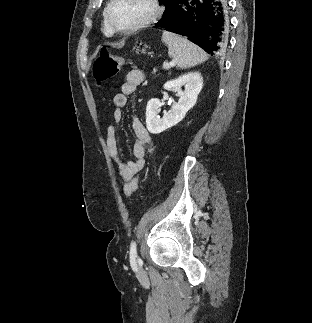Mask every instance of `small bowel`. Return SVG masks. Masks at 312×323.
<instances>
[{"label": "small bowel", "instance_id": "small-bowel-1", "mask_svg": "<svg viewBox=\"0 0 312 323\" xmlns=\"http://www.w3.org/2000/svg\"><path fill=\"white\" fill-rule=\"evenodd\" d=\"M145 80V74L140 69H132L127 75L121 90L113 97L115 109L112 111L111 122L105 131V143L109 156L115 162L117 174L124 182L132 180L145 166L146 149L150 145V136L141 121L134 116L132 128L136 137L132 153L134 160L123 161L119 156L117 128L123 120L122 108L127 104V98Z\"/></svg>", "mask_w": 312, "mask_h": 323}]
</instances>
